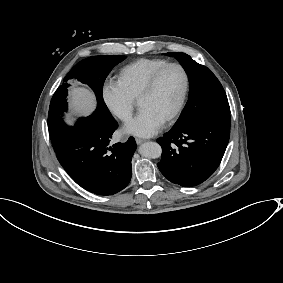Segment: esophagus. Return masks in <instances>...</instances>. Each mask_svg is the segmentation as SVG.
I'll return each mask as SVG.
<instances>
[{
	"label": "esophagus",
	"mask_w": 283,
	"mask_h": 283,
	"mask_svg": "<svg viewBox=\"0 0 283 283\" xmlns=\"http://www.w3.org/2000/svg\"><path fill=\"white\" fill-rule=\"evenodd\" d=\"M135 140H136V143L139 144V145L146 142L145 139H141V138H136Z\"/></svg>",
	"instance_id": "34e87169"
}]
</instances>
